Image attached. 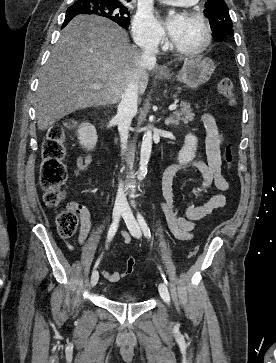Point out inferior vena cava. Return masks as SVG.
Instances as JSON below:
<instances>
[{
    "mask_svg": "<svg viewBox=\"0 0 276 363\" xmlns=\"http://www.w3.org/2000/svg\"><path fill=\"white\" fill-rule=\"evenodd\" d=\"M142 53L140 55L139 69L154 67L156 64V54L159 52L157 44L142 45ZM138 99V81L135 77L125 89L121 101L118 105L115 120L118 124V131L121 138L122 153L126 149L128 133L133 116L137 112ZM127 204L126 194L123 190L122 183L119 184L115 206L122 207Z\"/></svg>",
    "mask_w": 276,
    "mask_h": 363,
    "instance_id": "inferior-vena-cava-1",
    "label": "inferior vena cava"
}]
</instances>
